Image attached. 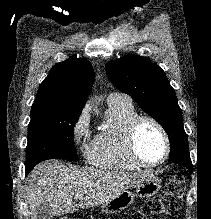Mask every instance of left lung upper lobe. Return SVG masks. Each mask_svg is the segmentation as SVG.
Masks as SVG:
<instances>
[{"label":"left lung upper lobe","instance_id":"obj_1","mask_svg":"<svg viewBox=\"0 0 211 219\" xmlns=\"http://www.w3.org/2000/svg\"><path fill=\"white\" fill-rule=\"evenodd\" d=\"M106 73L113 85L130 95L166 131L170 156L190 155L182 111L164 71L137 55L109 61Z\"/></svg>","mask_w":211,"mask_h":219}]
</instances>
